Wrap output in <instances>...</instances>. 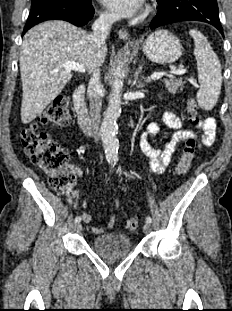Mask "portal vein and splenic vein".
I'll return each mask as SVG.
<instances>
[{
    "mask_svg": "<svg viewBox=\"0 0 232 311\" xmlns=\"http://www.w3.org/2000/svg\"><path fill=\"white\" fill-rule=\"evenodd\" d=\"M61 67L66 69L67 71H72L73 70V71H77V72H80V73H84L85 72V69H84L83 65H81L79 63H76V62L66 61V62L62 63ZM170 73L171 74H176V75H183V74L186 73V70L185 69H177V70H172ZM164 75H167V73H165V72L153 73L151 75V79L158 80L161 77H163Z\"/></svg>",
    "mask_w": 232,
    "mask_h": 311,
    "instance_id": "1",
    "label": "portal vein and splenic vein"
}]
</instances>
